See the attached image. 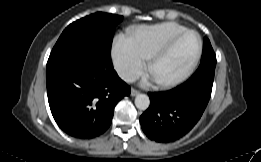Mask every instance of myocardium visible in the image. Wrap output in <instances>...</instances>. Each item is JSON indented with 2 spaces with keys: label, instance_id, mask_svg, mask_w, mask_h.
I'll list each match as a JSON object with an SVG mask.
<instances>
[{
  "label": "myocardium",
  "instance_id": "1",
  "mask_svg": "<svg viewBox=\"0 0 261 162\" xmlns=\"http://www.w3.org/2000/svg\"><path fill=\"white\" fill-rule=\"evenodd\" d=\"M189 33L195 34L198 38V48H197V51H196L192 61L187 66V68L182 73L177 75L176 77L167 79V80H155L159 86L165 87V88L177 86L180 83H182L183 81H185L188 77H190L191 74L196 69V66H197V64L200 60L201 54H202L203 41H202L200 34L197 31L192 30V29H185L179 33H176L172 37H170L162 46H160L154 53H152L150 55V57L148 58V61H147V71L150 73V70H151L152 66L155 64V62L157 60H159L161 57H163L165 54H167L170 51V49L173 47V45L177 42L178 39H180L182 36L189 34Z\"/></svg>",
  "mask_w": 261,
  "mask_h": 162
}]
</instances>
